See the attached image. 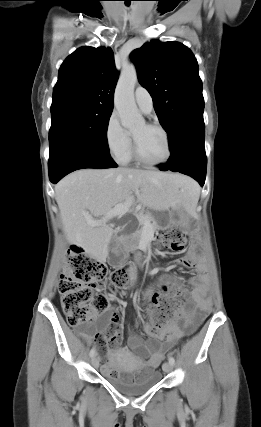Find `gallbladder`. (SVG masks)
I'll return each instance as SVG.
<instances>
[{"label": "gallbladder", "mask_w": 261, "mask_h": 427, "mask_svg": "<svg viewBox=\"0 0 261 427\" xmlns=\"http://www.w3.org/2000/svg\"><path fill=\"white\" fill-rule=\"evenodd\" d=\"M115 242L114 240L111 241L110 243V253L108 256V262L111 265H119L121 263H123L124 261V253L123 251H118L117 253L115 251H113L112 249L114 248Z\"/></svg>", "instance_id": "1"}]
</instances>
